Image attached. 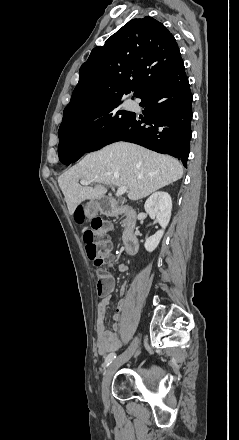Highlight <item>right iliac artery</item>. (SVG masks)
<instances>
[{
  "label": "right iliac artery",
  "instance_id": "1",
  "mask_svg": "<svg viewBox=\"0 0 239 440\" xmlns=\"http://www.w3.org/2000/svg\"><path fill=\"white\" fill-rule=\"evenodd\" d=\"M116 358V354L113 352V353H110L107 357H106V359H105V362H104V368H106V367H108L109 365H110V363L114 360Z\"/></svg>",
  "mask_w": 239,
  "mask_h": 440
}]
</instances>
